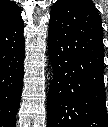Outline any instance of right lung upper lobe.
<instances>
[{
  "label": "right lung upper lobe",
  "mask_w": 108,
  "mask_h": 127,
  "mask_svg": "<svg viewBox=\"0 0 108 127\" xmlns=\"http://www.w3.org/2000/svg\"><path fill=\"white\" fill-rule=\"evenodd\" d=\"M20 8L12 1H0V24L17 21L21 18Z\"/></svg>",
  "instance_id": "cb5924a9"
}]
</instances>
